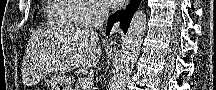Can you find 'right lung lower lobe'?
<instances>
[{"mask_svg": "<svg viewBox=\"0 0 216 90\" xmlns=\"http://www.w3.org/2000/svg\"><path fill=\"white\" fill-rule=\"evenodd\" d=\"M140 2V0H131V3L126 10L118 11L114 15L110 16L108 19L106 34L109 35L113 24L117 21H120L121 28L126 32L132 16L139 7Z\"/></svg>", "mask_w": 216, "mask_h": 90, "instance_id": "98d812e1", "label": "right lung lower lobe"}]
</instances>
